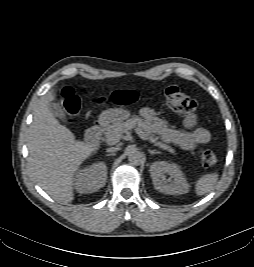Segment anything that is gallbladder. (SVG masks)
<instances>
[{
	"instance_id": "obj_1",
	"label": "gallbladder",
	"mask_w": 254,
	"mask_h": 267,
	"mask_svg": "<svg viewBox=\"0 0 254 267\" xmlns=\"http://www.w3.org/2000/svg\"><path fill=\"white\" fill-rule=\"evenodd\" d=\"M48 108H49V111L55 117H58L62 121H66L65 112H64L63 108L58 103H49Z\"/></svg>"
}]
</instances>
